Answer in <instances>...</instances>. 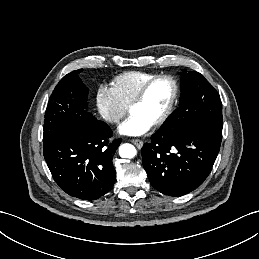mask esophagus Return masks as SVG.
<instances>
[{
    "label": "esophagus",
    "instance_id": "esophagus-1",
    "mask_svg": "<svg viewBox=\"0 0 259 259\" xmlns=\"http://www.w3.org/2000/svg\"><path fill=\"white\" fill-rule=\"evenodd\" d=\"M131 142L138 148L141 149L143 146V141L139 139H132Z\"/></svg>",
    "mask_w": 259,
    "mask_h": 259
}]
</instances>
